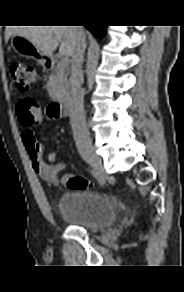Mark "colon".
Returning <instances> with one entry per match:
<instances>
[{
  "label": "colon",
  "instance_id": "colon-1",
  "mask_svg": "<svg viewBox=\"0 0 184 292\" xmlns=\"http://www.w3.org/2000/svg\"><path fill=\"white\" fill-rule=\"evenodd\" d=\"M10 73L17 89L21 92H27L36 79L35 69L21 61L11 64ZM16 112L20 123L26 127L36 126L42 120V113L37 103L30 98L21 99L17 103ZM65 184L69 189H86L92 186L88 179L77 174L67 175Z\"/></svg>",
  "mask_w": 184,
  "mask_h": 292
}]
</instances>
